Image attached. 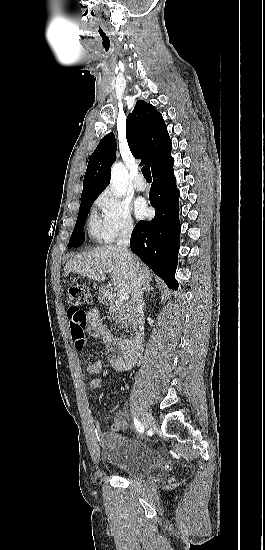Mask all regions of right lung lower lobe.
I'll use <instances>...</instances> for the list:
<instances>
[{
	"label": "right lung lower lobe",
	"instance_id": "obj_1",
	"mask_svg": "<svg viewBox=\"0 0 265 550\" xmlns=\"http://www.w3.org/2000/svg\"><path fill=\"white\" fill-rule=\"evenodd\" d=\"M169 155L152 170L149 201L156 209L151 221L139 222L132 232L130 247L153 272L172 289H178L174 274L180 248L179 190Z\"/></svg>",
	"mask_w": 265,
	"mask_h": 550
}]
</instances>
